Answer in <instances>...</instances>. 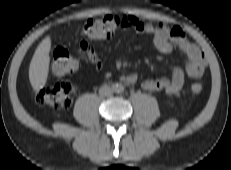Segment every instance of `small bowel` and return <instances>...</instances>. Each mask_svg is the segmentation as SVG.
I'll list each match as a JSON object with an SVG mask.
<instances>
[{
  "instance_id": "1",
  "label": "small bowel",
  "mask_w": 231,
  "mask_h": 170,
  "mask_svg": "<svg viewBox=\"0 0 231 170\" xmlns=\"http://www.w3.org/2000/svg\"><path fill=\"white\" fill-rule=\"evenodd\" d=\"M121 29H132L141 37L150 36L155 47L162 53H170L177 47L187 58L185 67L172 66L170 78L146 79L141 83V87L148 92H165L169 95L177 94L185 81L186 77H200L206 67V61L201 50L192 42L188 41L184 31L179 26L168 27L165 24L153 25L143 23L134 16L122 17ZM81 49L88 59L101 66V62L91 47L89 40L83 38L80 42ZM127 84H135L137 76L129 74L121 77Z\"/></svg>"
}]
</instances>
